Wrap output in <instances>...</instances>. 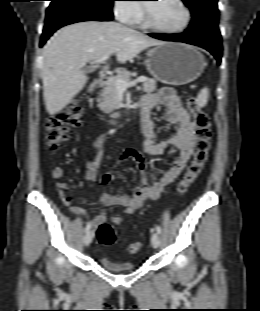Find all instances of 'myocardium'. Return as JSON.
Returning a JSON list of instances; mask_svg holds the SVG:
<instances>
[{
  "instance_id": "f54148a6",
  "label": "myocardium",
  "mask_w": 260,
  "mask_h": 311,
  "mask_svg": "<svg viewBox=\"0 0 260 311\" xmlns=\"http://www.w3.org/2000/svg\"><path fill=\"white\" fill-rule=\"evenodd\" d=\"M176 2L181 6V8L184 10V13H185L184 22L180 27L173 28V29H167V28L158 26L152 19L149 4H144L142 7L143 20L145 22V25L154 31L164 33V34H178V33H182L185 30H187L191 23V18H192L190 8L184 0H176Z\"/></svg>"
}]
</instances>
